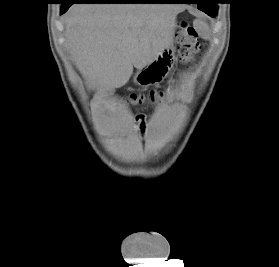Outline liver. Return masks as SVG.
Instances as JSON below:
<instances>
[{
  "instance_id": "liver-1",
  "label": "liver",
  "mask_w": 279,
  "mask_h": 267,
  "mask_svg": "<svg viewBox=\"0 0 279 267\" xmlns=\"http://www.w3.org/2000/svg\"><path fill=\"white\" fill-rule=\"evenodd\" d=\"M184 6L157 3L78 4L65 21L66 43L83 78L99 92L124 86L172 44Z\"/></svg>"
}]
</instances>
